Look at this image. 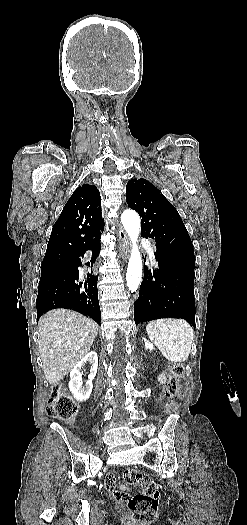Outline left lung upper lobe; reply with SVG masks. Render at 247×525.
I'll return each instance as SVG.
<instances>
[{
  "label": "left lung upper lobe",
  "instance_id": "1",
  "mask_svg": "<svg viewBox=\"0 0 247 525\" xmlns=\"http://www.w3.org/2000/svg\"><path fill=\"white\" fill-rule=\"evenodd\" d=\"M125 200L142 219V236L155 240L164 257L194 269V250L187 229L161 191L145 179H132L127 183Z\"/></svg>",
  "mask_w": 247,
  "mask_h": 525
}]
</instances>
